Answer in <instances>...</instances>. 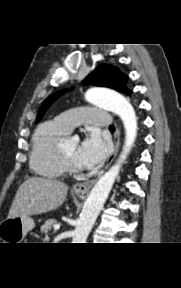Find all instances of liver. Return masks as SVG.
I'll return each mask as SVG.
<instances>
[{"label":"liver","mask_w":181,"mask_h":288,"mask_svg":"<svg viewBox=\"0 0 181 288\" xmlns=\"http://www.w3.org/2000/svg\"><path fill=\"white\" fill-rule=\"evenodd\" d=\"M67 192L68 186L61 181L28 178L19 186L8 217L38 215L57 209L66 199Z\"/></svg>","instance_id":"1"}]
</instances>
